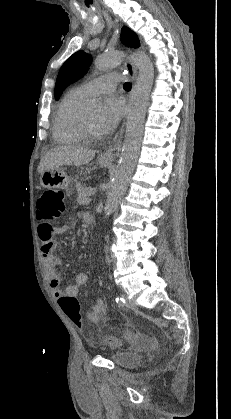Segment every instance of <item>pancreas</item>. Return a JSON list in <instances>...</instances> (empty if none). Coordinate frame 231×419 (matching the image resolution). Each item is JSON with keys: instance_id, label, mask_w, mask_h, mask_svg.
I'll list each match as a JSON object with an SVG mask.
<instances>
[{"instance_id": "cf45deb5", "label": "pancreas", "mask_w": 231, "mask_h": 419, "mask_svg": "<svg viewBox=\"0 0 231 419\" xmlns=\"http://www.w3.org/2000/svg\"><path fill=\"white\" fill-rule=\"evenodd\" d=\"M76 187L78 189L77 202L80 205H88L91 201L90 198H89V195H88V192H89L90 188L82 187L79 183H77Z\"/></svg>"}]
</instances>
